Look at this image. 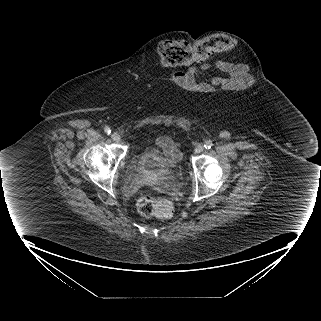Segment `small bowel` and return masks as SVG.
<instances>
[{
    "label": "small bowel",
    "instance_id": "obj_1",
    "mask_svg": "<svg viewBox=\"0 0 321 321\" xmlns=\"http://www.w3.org/2000/svg\"><path fill=\"white\" fill-rule=\"evenodd\" d=\"M204 74L210 77H202L199 80V76ZM173 79L192 91H197L201 87L203 95H218L219 85H224L226 92H234L243 90L245 86L253 87L256 84V77L249 75L246 67L222 61L193 67L186 73L177 72L173 74ZM156 144L170 160L175 161L179 157L178 148L170 136L159 137Z\"/></svg>",
    "mask_w": 321,
    "mask_h": 321
}]
</instances>
